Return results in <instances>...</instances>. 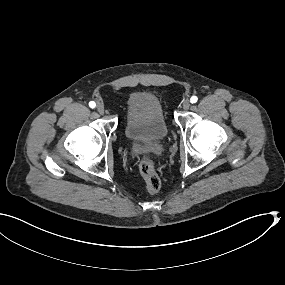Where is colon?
Returning <instances> with one entry per match:
<instances>
[{
  "label": "colon",
  "instance_id": "1",
  "mask_svg": "<svg viewBox=\"0 0 285 285\" xmlns=\"http://www.w3.org/2000/svg\"><path fill=\"white\" fill-rule=\"evenodd\" d=\"M139 170L143 176L147 191L155 194L161 186L160 178L156 172L154 162L150 158H144L139 164Z\"/></svg>",
  "mask_w": 285,
  "mask_h": 285
}]
</instances>
